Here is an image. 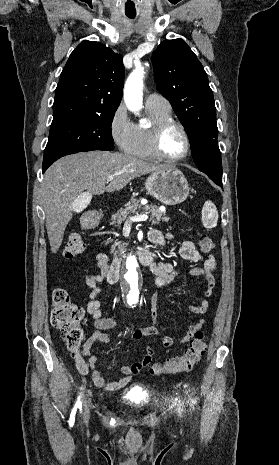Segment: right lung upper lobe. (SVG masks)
<instances>
[{
    "label": "right lung upper lobe",
    "instance_id": "1",
    "mask_svg": "<svg viewBox=\"0 0 279 465\" xmlns=\"http://www.w3.org/2000/svg\"><path fill=\"white\" fill-rule=\"evenodd\" d=\"M123 79L120 54L100 42H81L60 75L52 124L116 111L122 98Z\"/></svg>",
    "mask_w": 279,
    "mask_h": 465
}]
</instances>
